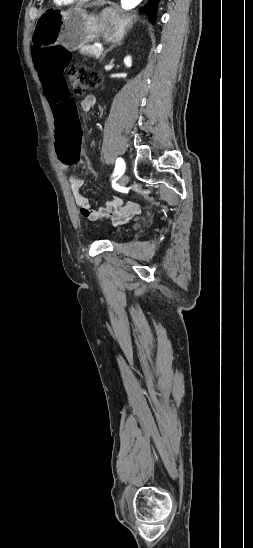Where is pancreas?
Instances as JSON below:
<instances>
[{"label": "pancreas", "instance_id": "1", "mask_svg": "<svg viewBox=\"0 0 253 548\" xmlns=\"http://www.w3.org/2000/svg\"><path fill=\"white\" fill-rule=\"evenodd\" d=\"M79 52L82 55H86V56H89V57H94L96 59H98L100 57L101 53H102V51L99 50L98 47L94 46V45L80 46Z\"/></svg>", "mask_w": 253, "mask_h": 548}]
</instances>
